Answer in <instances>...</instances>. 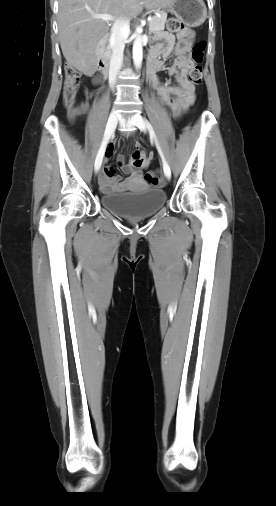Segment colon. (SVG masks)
<instances>
[{"label":"colon","mask_w":276,"mask_h":506,"mask_svg":"<svg viewBox=\"0 0 276 506\" xmlns=\"http://www.w3.org/2000/svg\"><path fill=\"white\" fill-rule=\"evenodd\" d=\"M167 28L173 33H183L185 31L184 24L177 18L172 17L168 20ZM205 42H196L191 51L192 67L188 72V80L194 85H200L203 76ZM80 73L72 66L65 67V81L63 88V103L69 112L71 118L77 115L79 110L75 108V100L80 85ZM145 181L151 185H159L161 183V175L158 171H150L145 174Z\"/></svg>","instance_id":"5ec220e1"}]
</instances>
